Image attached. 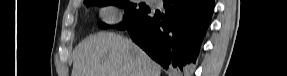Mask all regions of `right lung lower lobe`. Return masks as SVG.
<instances>
[{
	"instance_id": "98d812e1",
	"label": "right lung lower lobe",
	"mask_w": 287,
	"mask_h": 76,
	"mask_svg": "<svg viewBox=\"0 0 287 76\" xmlns=\"http://www.w3.org/2000/svg\"><path fill=\"white\" fill-rule=\"evenodd\" d=\"M165 12L152 10L127 29L132 40L164 68L186 72L199 54L214 0H163Z\"/></svg>"
}]
</instances>
